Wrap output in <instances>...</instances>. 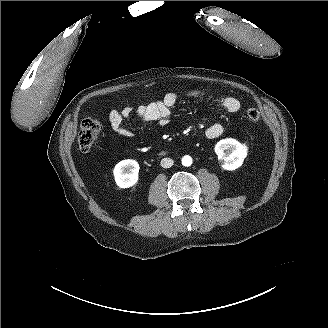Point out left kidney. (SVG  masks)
I'll return each instance as SVG.
<instances>
[{
    "label": "left kidney",
    "mask_w": 328,
    "mask_h": 328,
    "mask_svg": "<svg viewBox=\"0 0 328 328\" xmlns=\"http://www.w3.org/2000/svg\"><path fill=\"white\" fill-rule=\"evenodd\" d=\"M247 150V146L232 138L220 140L215 145L218 160L225 170H235L240 167L247 156Z\"/></svg>",
    "instance_id": "obj_1"
}]
</instances>
